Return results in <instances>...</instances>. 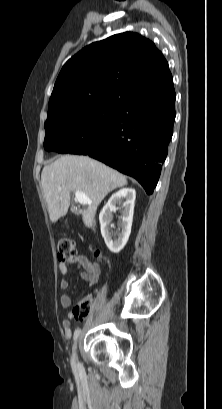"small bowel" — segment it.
<instances>
[{
  "instance_id": "obj_1",
  "label": "small bowel",
  "mask_w": 222,
  "mask_h": 409,
  "mask_svg": "<svg viewBox=\"0 0 222 409\" xmlns=\"http://www.w3.org/2000/svg\"><path fill=\"white\" fill-rule=\"evenodd\" d=\"M78 263L81 264L84 268V272L81 274V277L88 283L89 287L94 286L99 278L101 268L98 263H93L91 262L86 256L84 255H79L78 256ZM61 271L63 274L67 273V270L65 267L61 266ZM60 287L63 290H66L69 287V282L66 279H63L60 282ZM71 297L67 293H63L60 297V304L63 308H68L71 305ZM69 317H72V314L69 315ZM65 335L70 336L71 335V322L69 319H64L62 322Z\"/></svg>"
}]
</instances>
